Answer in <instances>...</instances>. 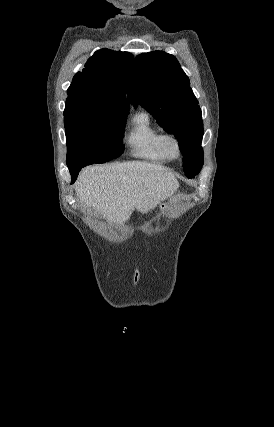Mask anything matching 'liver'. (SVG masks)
I'll list each match as a JSON object with an SVG mask.
<instances>
[{"label":"liver","mask_w":274,"mask_h":427,"mask_svg":"<svg viewBox=\"0 0 274 427\" xmlns=\"http://www.w3.org/2000/svg\"><path fill=\"white\" fill-rule=\"evenodd\" d=\"M178 188L177 178L167 168L147 162L88 166L75 184L82 204L110 223L120 225L133 210L147 214Z\"/></svg>","instance_id":"liver-1"}]
</instances>
